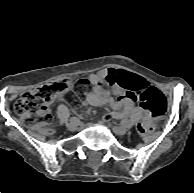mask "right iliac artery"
Segmentation results:
<instances>
[{
	"label": "right iliac artery",
	"instance_id": "82829eb1",
	"mask_svg": "<svg viewBox=\"0 0 194 193\" xmlns=\"http://www.w3.org/2000/svg\"><path fill=\"white\" fill-rule=\"evenodd\" d=\"M78 121H79V118H77V117L70 118V122H78Z\"/></svg>",
	"mask_w": 194,
	"mask_h": 193
}]
</instances>
